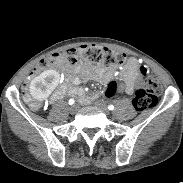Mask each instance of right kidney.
Segmentation results:
<instances>
[{
	"instance_id": "obj_1",
	"label": "right kidney",
	"mask_w": 183,
	"mask_h": 183,
	"mask_svg": "<svg viewBox=\"0 0 183 183\" xmlns=\"http://www.w3.org/2000/svg\"><path fill=\"white\" fill-rule=\"evenodd\" d=\"M59 74L55 70H46L30 83V94L36 101H44L56 87Z\"/></svg>"
}]
</instances>
